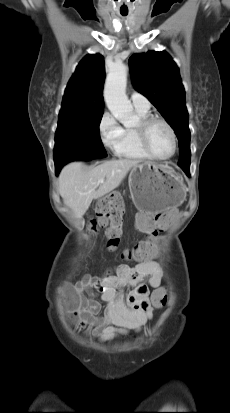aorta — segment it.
Wrapping results in <instances>:
<instances>
[{"label": "aorta", "instance_id": "aorta-1", "mask_svg": "<svg viewBox=\"0 0 230 413\" xmlns=\"http://www.w3.org/2000/svg\"><path fill=\"white\" fill-rule=\"evenodd\" d=\"M127 67L114 65L106 78L104 100L112 115L124 126L135 122L133 106L126 95Z\"/></svg>", "mask_w": 230, "mask_h": 413}]
</instances>
